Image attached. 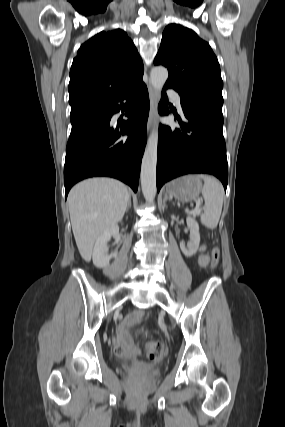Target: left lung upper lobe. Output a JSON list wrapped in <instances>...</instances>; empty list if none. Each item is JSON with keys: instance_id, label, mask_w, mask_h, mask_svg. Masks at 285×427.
<instances>
[{"instance_id": "left-lung-upper-lobe-1", "label": "left lung upper lobe", "mask_w": 285, "mask_h": 427, "mask_svg": "<svg viewBox=\"0 0 285 427\" xmlns=\"http://www.w3.org/2000/svg\"><path fill=\"white\" fill-rule=\"evenodd\" d=\"M154 64L168 68L165 86L179 93L185 107L222 112L223 81L218 60L209 44L193 30L177 24L168 25Z\"/></svg>"}]
</instances>
